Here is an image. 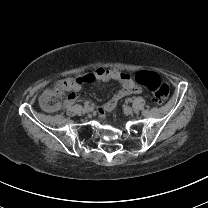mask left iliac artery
Instances as JSON below:
<instances>
[{"label": "left iliac artery", "mask_w": 208, "mask_h": 208, "mask_svg": "<svg viewBox=\"0 0 208 208\" xmlns=\"http://www.w3.org/2000/svg\"><path fill=\"white\" fill-rule=\"evenodd\" d=\"M126 102L131 103V102H132V98H127V99H126Z\"/></svg>", "instance_id": "1"}]
</instances>
